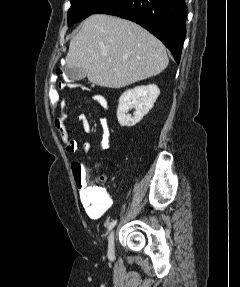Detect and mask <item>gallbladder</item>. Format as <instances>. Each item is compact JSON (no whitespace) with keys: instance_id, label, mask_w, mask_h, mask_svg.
<instances>
[{"instance_id":"gallbladder-1","label":"gallbladder","mask_w":240,"mask_h":287,"mask_svg":"<svg viewBox=\"0 0 240 287\" xmlns=\"http://www.w3.org/2000/svg\"><path fill=\"white\" fill-rule=\"evenodd\" d=\"M65 78L69 81H80L86 77V71L81 68H64Z\"/></svg>"}]
</instances>
